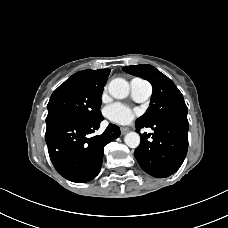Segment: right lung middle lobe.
<instances>
[{
    "label": "right lung middle lobe",
    "mask_w": 228,
    "mask_h": 228,
    "mask_svg": "<svg viewBox=\"0 0 228 228\" xmlns=\"http://www.w3.org/2000/svg\"><path fill=\"white\" fill-rule=\"evenodd\" d=\"M103 88L89 87L69 78L53 92L49 100L47 128L63 121H92L100 117Z\"/></svg>",
    "instance_id": "1"
}]
</instances>
